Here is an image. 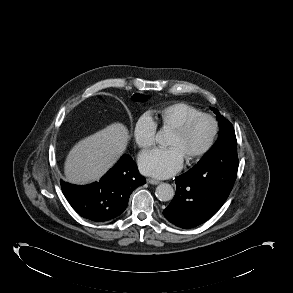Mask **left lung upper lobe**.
I'll return each instance as SVG.
<instances>
[{"label": "left lung upper lobe", "mask_w": 293, "mask_h": 293, "mask_svg": "<svg viewBox=\"0 0 293 293\" xmlns=\"http://www.w3.org/2000/svg\"><path fill=\"white\" fill-rule=\"evenodd\" d=\"M210 109L217 115L220 128L219 137L195 167H213L238 159L237 141L232 124L223 115H220L216 108L210 107Z\"/></svg>", "instance_id": "obj_1"}]
</instances>
